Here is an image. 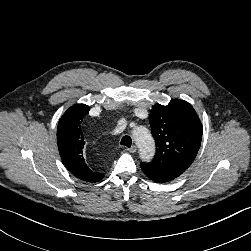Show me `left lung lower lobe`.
<instances>
[{
    "mask_svg": "<svg viewBox=\"0 0 251 251\" xmlns=\"http://www.w3.org/2000/svg\"><path fill=\"white\" fill-rule=\"evenodd\" d=\"M140 166H141V169L143 170V172L149 178H151L153 181H155L157 183L169 182V181L174 180L175 178H177L178 176L181 175L176 172L166 171V170L152 167L147 163H141Z\"/></svg>",
    "mask_w": 251,
    "mask_h": 251,
    "instance_id": "left-lung-lower-lobe-1",
    "label": "left lung lower lobe"
}]
</instances>
